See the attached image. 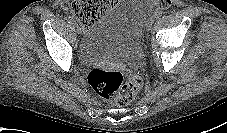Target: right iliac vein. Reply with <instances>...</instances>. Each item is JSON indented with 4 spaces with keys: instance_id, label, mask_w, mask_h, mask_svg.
Listing matches in <instances>:
<instances>
[{
    "instance_id": "obj_1",
    "label": "right iliac vein",
    "mask_w": 227,
    "mask_h": 133,
    "mask_svg": "<svg viewBox=\"0 0 227 133\" xmlns=\"http://www.w3.org/2000/svg\"><path fill=\"white\" fill-rule=\"evenodd\" d=\"M75 29L77 31V33H81V28L77 23H74Z\"/></svg>"
}]
</instances>
